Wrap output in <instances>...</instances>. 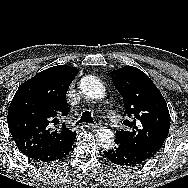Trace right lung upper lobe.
Wrapping results in <instances>:
<instances>
[{
	"instance_id": "obj_1",
	"label": "right lung upper lobe",
	"mask_w": 188,
	"mask_h": 188,
	"mask_svg": "<svg viewBox=\"0 0 188 188\" xmlns=\"http://www.w3.org/2000/svg\"><path fill=\"white\" fill-rule=\"evenodd\" d=\"M77 73L75 67L53 66L20 85L9 106L7 121L23 154L60 144L76 134L59 118L70 110L65 94Z\"/></svg>"
}]
</instances>
